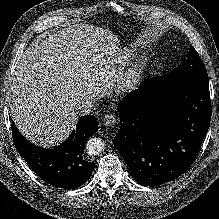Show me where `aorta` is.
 <instances>
[{"label":"aorta","mask_w":219,"mask_h":219,"mask_svg":"<svg viewBox=\"0 0 219 219\" xmlns=\"http://www.w3.org/2000/svg\"><path fill=\"white\" fill-rule=\"evenodd\" d=\"M105 149V143L101 138H90L86 143V150L90 155H99Z\"/></svg>","instance_id":"1"}]
</instances>
